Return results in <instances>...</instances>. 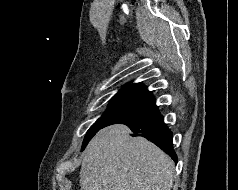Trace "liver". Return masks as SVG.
<instances>
[{
	"label": "liver",
	"instance_id": "6515ba94",
	"mask_svg": "<svg viewBox=\"0 0 238 190\" xmlns=\"http://www.w3.org/2000/svg\"><path fill=\"white\" fill-rule=\"evenodd\" d=\"M116 124L100 130L87 146L81 190H171L174 163L143 137Z\"/></svg>",
	"mask_w": 238,
	"mask_h": 190
}]
</instances>
